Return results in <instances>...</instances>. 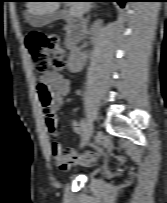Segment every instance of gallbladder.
I'll use <instances>...</instances> for the list:
<instances>
[{
	"mask_svg": "<svg viewBox=\"0 0 167 203\" xmlns=\"http://www.w3.org/2000/svg\"><path fill=\"white\" fill-rule=\"evenodd\" d=\"M64 13L62 11H55L53 13L49 14H33V13H27L26 19L27 22L33 26V27H42L45 26L57 19L62 18Z\"/></svg>",
	"mask_w": 167,
	"mask_h": 203,
	"instance_id": "bac80fb5",
	"label": "gallbladder"
}]
</instances>
